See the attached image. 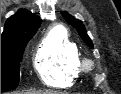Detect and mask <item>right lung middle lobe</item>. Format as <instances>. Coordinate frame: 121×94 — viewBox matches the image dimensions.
Masks as SVG:
<instances>
[{"label": "right lung middle lobe", "mask_w": 121, "mask_h": 94, "mask_svg": "<svg viewBox=\"0 0 121 94\" xmlns=\"http://www.w3.org/2000/svg\"><path fill=\"white\" fill-rule=\"evenodd\" d=\"M35 33L1 43V92L10 91L18 86L22 55L28 41Z\"/></svg>", "instance_id": "1"}]
</instances>
